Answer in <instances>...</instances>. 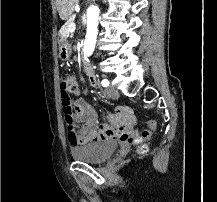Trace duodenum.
I'll use <instances>...</instances> for the list:
<instances>
[{
	"label": "duodenum",
	"mask_w": 217,
	"mask_h": 202,
	"mask_svg": "<svg viewBox=\"0 0 217 202\" xmlns=\"http://www.w3.org/2000/svg\"><path fill=\"white\" fill-rule=\"evenodd\" d=\"M84 71L89 79H93L95 77L94 69L90 62L86 61L84 63Z\"/></svg>",
	"instance_id": "obj_1"
}]
</instances>
